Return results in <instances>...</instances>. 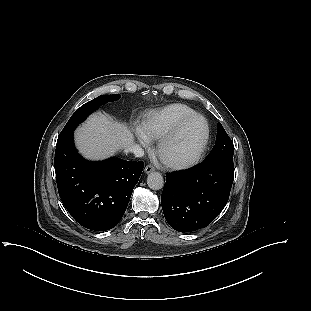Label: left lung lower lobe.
I'll return each mask as SVG.
<instances>
[{
    "instance_id": "obj_1",
    "label": "left lung lower lobe",
    "mask_w": 311,
    "mask_h": 311,
    "mask_svg": "<svg viewBox=\"0 0 311 311\" xmlns=\"http://www.w3.org/2000/svg\"><path fill=\"white\" fill-rule=\"evenodd\" d=\"M234 179V165L204 161L181 174H168L161 196L166 221L180 232L208 226L228 201Z\"/></svg>"
}]
</instances>
